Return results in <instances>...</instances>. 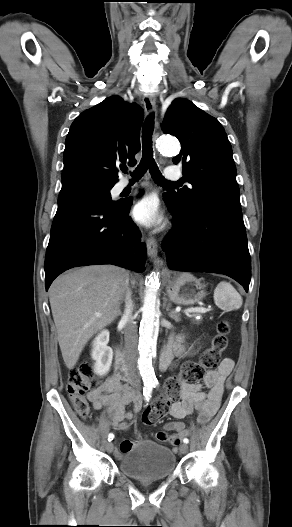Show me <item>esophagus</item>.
Wrapping results in <instances>:
<instances>
[{
	"label": "esophagus",
	"mask_w": 292,
	"mask_h": 527,
	"mask_svg": "<svg viewBox=\"0 0 292 527\" xmlns=\"http://www.w3.org/2000/svg\"><path fill=\"white\" fill-rule=\"evenodd\" d=\"M145 111L148 115H152L156 110V98L154 95L145 96L143 98ZM147 254L156 266H162L163 260L158 256V243L154 237H149L146 242Z\"/></svg>",
	"instance_id": "esophagus-1"
}]
</instances>
